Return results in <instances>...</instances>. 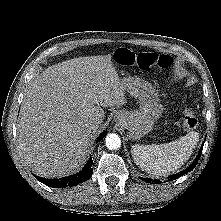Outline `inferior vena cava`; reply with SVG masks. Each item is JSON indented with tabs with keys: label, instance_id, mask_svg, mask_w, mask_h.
I'll return each instance as SVG.
<instances>
[{
	"label": "inferior vena cava",
	"instance_id": "602c4592",
	"mask_svg": "<svg viewBox=\"0 0 221 221\" xmlns=\"http://www.w3.org/2000/svg\"><path fill=\"white\" fill-rule=\"evenodd\" d=\"M101 123H102V120L99 118H94L90 120L88 123L89 131L95 132Z\"/></svg>",
	"mask_w": 221,
	"mask_h": 221
}]
</instances>
